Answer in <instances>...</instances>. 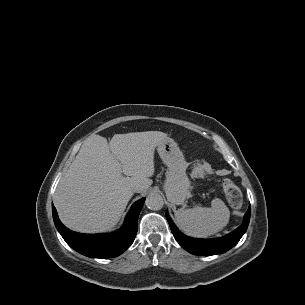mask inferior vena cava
Listing matches in <instances>:
<instances>
[{
    "mask_svg": "<svg viewBox=\"0 0 305 305\" xmlns=\"http://www.w3.org/2000/svg\"><path fill=\"white\" fill-rule=\"evenodd\" d=\"M131 190H132L133 192H140V191H141V187H140V186H133V187L131 188Z\"/></svg>",
    "mask_w": 305,
    "mask_h": 305,
    "instance_id": "602c4592",
    "label": "inferior vena cava"
}]
</instances>
